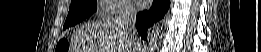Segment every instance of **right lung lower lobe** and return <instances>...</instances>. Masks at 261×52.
Masks as SVG:
<instances>
[{"label": "right lung lower lobe", "instance_id": "1", "mask_svg": "<svg viewBox=\"0 0 261 52\" xmlns=\"http://www.w3.org/2000/svg\"><path fill=\"white\" fill-rule=\"evenodd\" d=\"M169 7V0H153V5L149 11L138 13L136 20V28L142 39L147 38V30L155 22L162 19Z\"/></svg>", "mask_w": 261, "mask_h": 52}]
</instances>
